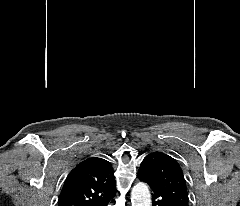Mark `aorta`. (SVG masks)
Wrapping results in <instances>:
<instances>
[{
    "label": "aorta",
    "mask_w": 240,
    "mask_h": 206,
    "mask_svg": "<svg viewBox=\"0 0 240 206\" xmlns=\"http://www.w3.org/2000/svg\"><path fill=\"white\" fill-rule=\"evenodd\" d=\"M132 206H151V194L144 183H137L131 191Z\"/></svg>",
    "instance_id": "aorta-1"
}]
</instances>
